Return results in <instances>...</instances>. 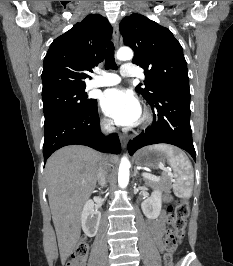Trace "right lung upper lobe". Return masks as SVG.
Instances as JSON below:
<instances>
[{
	"label": "right lung upper lobe",
	"instance_id": "obj_1",
	"mask_svg": "<svg viewBox=\"0 0 233 266\" xmlns=\"http://www.w3.org/2000/svg\"><path fill=\"white\" fill-rule=\"evenodd\" d=\"M111 35L107 19L90 14L56 38L44 58L42 94L86 87L85 71L103 61Z\"/></svg>",
	"mask_w": 233,
	"mask_h": 266
}]
</instances>
